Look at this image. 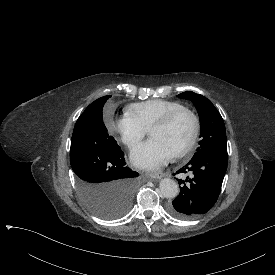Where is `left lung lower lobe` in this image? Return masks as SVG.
<instances>
[{"instance_id":"0a47b994","label":"left lung lower lobe","mask_w":275,"mask_h":275,"mask_svg":"<svg viewBox=\"0 0 275 275\" xmlns=\"http://www.w3.org/2000/svg\"><path fill=\"white\" fill-rule=\"evenodd\" d=\"M227 169V152L215 151L201 155L189 161L176 174L191 172L179 195L174 199L168 211L180 219L194 218L210 210L216 203L221 191ZM175 175V174H173ZM179 184L185 183L181 179Z\"/></svg>"}]
</instances>
